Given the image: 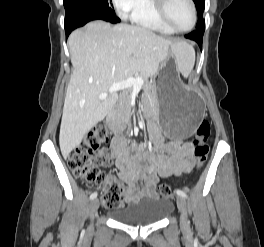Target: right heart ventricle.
Returning a JSON list of instances; mask_svg holds the SVG:
<instances>
[{"label": "right heart ventricle", "mask_w": 264, "mask_h": 247, "mask_svg": "<svg viewBox=\"0 0 264 247\" xmlns=\"http://www.w3.org/2000/svg\"><path fill=\"white\" fill-rule=\"evenodd\" d=\"M130 20L139 26L156 32L163 34L174 33V31L158 17L153 0H138L137 5L130 13Z\"/></svg>", "instance_id": "obj_1"}]
</instances>
